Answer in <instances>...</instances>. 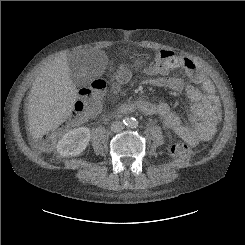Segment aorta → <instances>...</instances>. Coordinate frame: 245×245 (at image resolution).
<instances>
[{
	"label": "aorta",
	"instance_id": "obj_1",
	"mask_svg": "<svg viewBox=\"0 0 245 245\" xmlns=\"http://www.w3.org/2000/svg\"><path fill=\"white\" fill-rule=\"evenodd\" d=\"M126 125L130 128H136L138 125V122L134 118H129L126 120Z\"/></svg>",
	"mask_w": 245,
	"mask_h": 245
}]
</instances>
